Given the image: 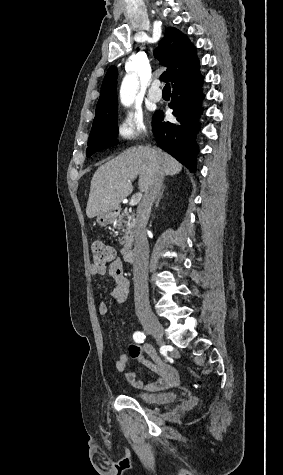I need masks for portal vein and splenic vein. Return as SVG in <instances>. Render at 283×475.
I'll return each instance as SVG.
<instances>
[{"instance_id": "18ae733b", "label": "portal vein and splenic vein", "mask_w": 283, "mask_h": 475, "mask_svg": "<svg viewBox=\"0 0 283 475\" xmlns=\"http://www.w3.org/2000/svg\"><path fill=\"white\" fill-rule=\"evenodd\" d=\"M142 198V194H134V196H132V200L130 202L131 206H135V204H137V202H140Z\"/></svg>"}]
</instances>
